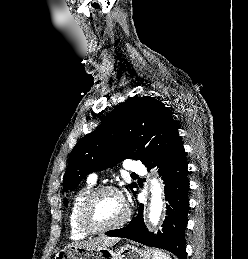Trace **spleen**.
<instances>
[{"instance_id": "1", "label": "spleen", "mask_w": 248, "mask_h": 259, "mask_svg": "<svg viewBox=\"0 0 248 259\" xmlns=\"http://www.w3.org/2000/svg\"><path fill=\"white\" fill-rule=\"evenodd\" d=\"M154 259H172V258L168 254L162 252L161 250H155Z\"/></svg>"}]
</instances>
